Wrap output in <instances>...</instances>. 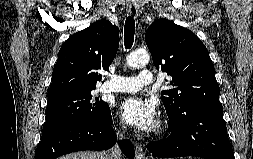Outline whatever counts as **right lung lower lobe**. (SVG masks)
<instances>
[{
  "instance_id": "right-lung-lower-lobe-1",
  "label": "right lung lower lobe",
  "mask_w": 253,
  "mask_h": 159,
  "mask_svg": "<svg viewBox=\"0 0 253 159\" xmlns=\"http://www.w3.org/2000/svg\"><path fill=\"white\" fill-rule=\"evenodd\" d=\"M110 109L102 119H78L42 136L35 151V159H56L62 155L84 150H107L117 141ZM123 153L133 159L134 147L130 140L119 142Z\"/></svg>"
}]
</instances>
